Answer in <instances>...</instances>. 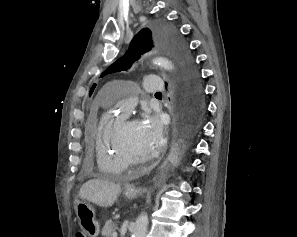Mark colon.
<instances>
[{
	"label": "colon",
	"instance_id": "5ec220e1",
	"mask_svg": "<svg viewBox=\"0 0 297 237\" xmlns=\"http://www.w3.org/2000/svg\"><path fill=\"white\" fill-rule=\"evenodd\" d=\"M76 237H86V235L84 233H82V232H78L76 234Z\"/></svg>",
	"mask_w": 297,
	"mask_h": 237
}]
</instances>
